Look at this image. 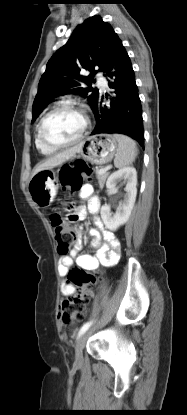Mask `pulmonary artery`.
<instances>
[{
	"label": "pulmonary artery",
	"mask_w": 187,
	"mask_h": 415,
	"mask_svg": "<svg viewBox=\"0 0 187 415\" xmlns=\"http://www.w3.org/2000/svg\"><path fill=\"white\" fill-rule=\"evenodd\" d=\"M97 81L103 89L107 88V82L101 73L97 74Z\"/></svg>",
	"instance_id": "obj_1"
}]
</instances>
